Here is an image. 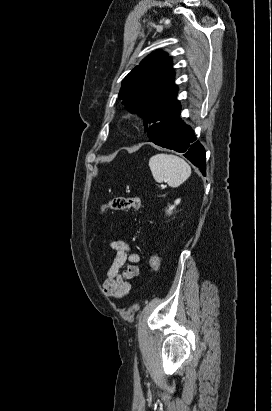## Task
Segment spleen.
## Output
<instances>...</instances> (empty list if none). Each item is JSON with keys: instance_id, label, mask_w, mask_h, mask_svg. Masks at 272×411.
I'll use <instances>...</instances> for the list:
<instances>
[{"instance_id": "3e777b00", "label": "spleen", "mask_w": 272, "mask_h": 411, "mask_svg": "<svg viewBox=\"0 0 272 411\" xmlns=\"http://www.w3.org/2000/svg\"><path fill=\"white\" fill-rule=\"evenodd\" d=\"M149 168L157 182H167L178 187L191 175V167L182 158L173 154H156L149 160Z\"/></svg>"}]
</instances>
